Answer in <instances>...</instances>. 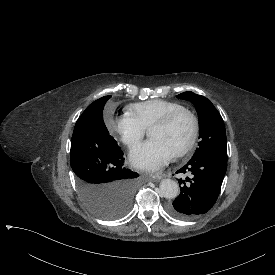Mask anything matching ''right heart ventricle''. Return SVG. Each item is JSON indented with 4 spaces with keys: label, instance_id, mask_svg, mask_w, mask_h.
<instances>
[{
    "label": "right heart ventricle",
    "instance_id": "e07e8e85",
    "mask_svg": "<svg viewBox=\"0 0 275 275\" xmlns=\"http://www.w3.org/2000/svg\"><path fill=\"white\" fill-rule=\"evenodd\" d=\"M184 108L182 104L177 102L153 99L129 105L127 114L134 117L145 129H150L169 113Z\"/></svg>",
    "mask_w": 275,
    "mask_h": 275
}]
</instances>
